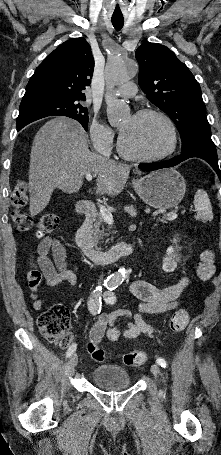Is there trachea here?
Wrapping results in <instances>:
<instances>
[{"label": "trachea", "mask_w": 221, "mask_h": 455, "mask_svg": "<svg viewBox=\"0 0 221 455\" xmlns=\"http://www.w3.org/2000/svg\"><path fill=\"white\" fill-rule=\"evenodd\" d=\"M111 22L116 30H120L124 25L123 18H112Z\"/></svg>", "instance_id": "obj_1"}]
</instances>
